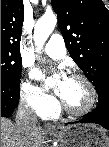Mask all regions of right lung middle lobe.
I'll list each match as a JSON object with an SVG mask.
<instances>
[{"instance_id":"obj_1","label":"right lung middle lobe","mask_w":109,"mask_h":147,"mask_svg":"<svg viewBox=\"0 0 109 147\" xmlns=\"http://www.w3.org/2000/svg\"><path fill=\"white\" fill-rule=\"evenodd\" d=\"M22 61L15 51L1 48V82L19 85Z\"/></svg>"}]
</instances>
